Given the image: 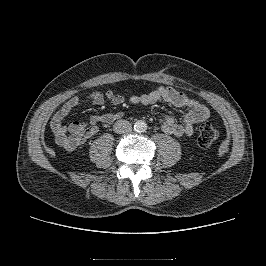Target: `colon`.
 I'll list each match as a JSON object with an SVG mask.
<instances>
[{
    "label": "colon",
    "instance_id": "1",
    "mask_svg": "<svg viewBox=\"0 0 266 266\" xmlns=\"http://www.w3.org/2000/svg\"><path fill=\"white\" fill-rule=\"evenodd\" d=\"M218 137L217 129L211 123H203L197 133L198 146L205 148L210 146Z\"/></svg>",
    "mask_w": 266,
    "mask_h": 266
}]
</instances>
